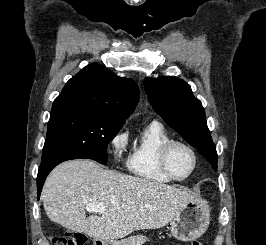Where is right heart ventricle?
I'll return each mask as SVG.
<instances>
[{"label":"right heart ventricle","mask_w":266,"mask_h":245,"mask_svg":"<svg viewBox=\"0 0 266 245\" xmlns=\"http://www.w3.org/2000/svg\"><path fill=\"white\" fill-rule=\"evenodd\" d=\"M170 139L172 136L160 121H149L131 148L128 160L130 172L148 184L171 183L159 163L160 148Z\"/></svg>","instance_id":"1"}]
</instances>
